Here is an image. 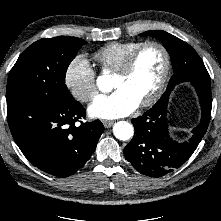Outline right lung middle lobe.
<instances>
[{
    "label": "right lung middle lobe",
    "instance_id": "right-lung-middle-lobe-1",
    "mask_svg": "<svg viewBox=\"0 0 221 221\" xmlns=\"http://www.w3.org/2000/svg\"><path fill=\"white\" fill-rule=\"evenodd\" d=\"M86 41L76 37L44 38L30 45L10 70L7 101L34 96L51 100L59 95L72 98L65 85L70 62Z\"/></svg>",
    "mask_w": 221,
    "mask_h": 221
}]
</instances>
